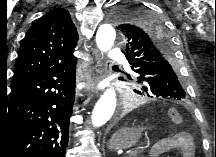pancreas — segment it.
I'll use <instances>...</instances> for the list:
<instances>
[{"mask_svg": "<svg viewBox=\"0 0 216 157\" xmlns=\"http://www.w3.org/2000/svg\"><path fill=\"white\" fill-rule=\"evenodd\" d=\"M139 153V151H134L131 154H129L130 157H134Z\"/></svg>", "mask_w": 216, "mask_h": 157, "instance_id": "cf45deb5", "label": "pancreas"}]
</instances>
